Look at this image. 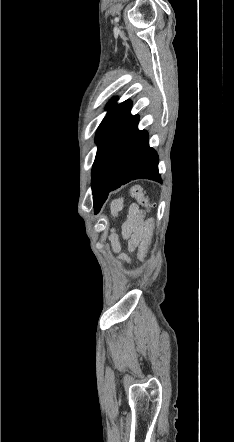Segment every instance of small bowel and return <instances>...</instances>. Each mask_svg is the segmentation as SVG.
<instances>
[{
    "label": "small bowel",
    "mask_w": 234,
    "mask_h": 442,
    "mask_svg": "<svg viewBox=\"0 0 234 442\" xmlns=\"http://www.w3.org/2000/svg\"><path fill=\"white\" fill-rule=\"evenodd\" d=\"M122 209V202L116 201L113 203L111 210L113 215H117ZM142 214L137 204H131L128 209L126 220L122 224V235L129 239L130 248H134L139 240L140 232L142 230ZM113 246L116 250L119 249L117 236H111Z\"/></svg>",
    "instance_id": "obj_1"
}]
</instances>
